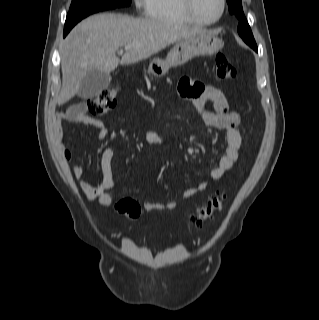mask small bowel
Wrapping results in <instances>:
<instances>
[{
    "mask_svg": "<svg viewBox=\"0 0 319 320\" xmlns=\"http://www.w3.org/2000/svg\"><path fill=\"white\" fill-rule=\"evenodd\" d=\"M179 95L181 98L190 101L195 108L200 120L207 126L226 131L225 151L221 156L218 165L212 169L209 177L184 192V198H190L205 190L210 182L217 181L232 169L236 162L241 148L245 129L241 127L240 117L236 112L229 111L225 95L217 87L208 85L199 80L183 77L179 81ZM211 103L214 111L206 109V105ZM57 131L60 134V124L63 122H76L92 126L96 129L95 138L104 139L109 136L108 127L100 119L87 115L86 106L78 104L66 113L57 117ZM147 142L154 148L163 149L169 146L163 136L155 130H151L146 135ZM64 158L69 161L71 152L67 149L63 151ZM115 152L112 148H105L100 156V169L102 181L94 185L87 180L80 181V189L89 199H98L104 207H111L114 198L109 191L116 185L112 161ZM84 167L75 165L73 175L76 179H81L84 175ZM176 206V202H146L144 209L149 212H159L171 210Z\"/></svg>",
    "mask_w": 319,
    "mask_h": 320,
    "instance_id": "small-bowel-1",
    "label": "small bowel"
}]
</instances>
